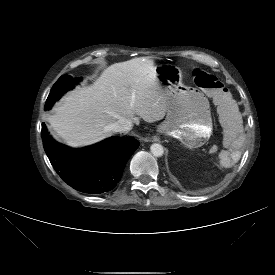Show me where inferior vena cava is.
Returning a JSON list of instances; mask_svg holds the SVG:
<instances>
[{
	"mask_svg": "<svg viewBox=\"0 0 275 275\" xmlns=\"http://www.w3.org/2000/svg\"><path fill=\"white\" fill-rule=\"evenodd\" d=\"M110 130L113 132H128L132 128V121L129 119H120L116 123L110 125Z\"/></svg>",
	"mask_w": 275,
	"mask_h": 275,
	"instance_id": "1",
	"label": "inferior vena cava"
}]
</instances>
